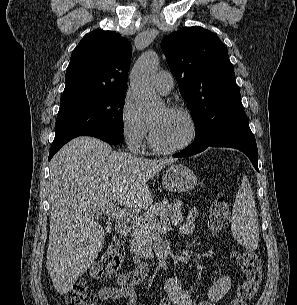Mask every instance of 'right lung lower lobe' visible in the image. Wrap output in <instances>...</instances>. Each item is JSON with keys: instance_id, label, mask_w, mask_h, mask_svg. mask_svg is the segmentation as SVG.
Listing matches in <instances>:
<instances>
[{"instance_id": "obj_1", "label": "right lung lower lobe", "mask_w": 297, "mask_h": 305, "mask_svg": "<svg viewBox=\"0 0 297 305\" xmlns=\"http://www.w3.org/2000/svg\"><path fill=\"white\" fill-rule=\"evenodd\" d=\"M84 136H93L96 138H99L109 144H118L120 142H122L123 140V134H113V133H89L86 134ZM63 146V145H62ZM56 147V148H52L50 149L49 152V160H51V158L53 157V155L62 147Z\"/></svg>"}]
</instances>
